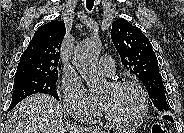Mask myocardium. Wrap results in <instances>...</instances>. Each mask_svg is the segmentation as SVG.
Returning a JSON list of instances; mask_svg holds the SVG:
<instances>
[{"instance_id": "obj_1", "label": "myocardium", "mask_w": 184, "mask_h": 133, "mask_svg": "<svg viewBox=\"0 0 184 133\" xmlns=\"http://www.w3.org/2000/svg\"><path fill=\"white\" fill-rule=\"evenodd\" d=\"M109 85L113 88L131 87L135 89L141 99V109L139 113L132 118L117 119L108 115L106 111L103 109V107L101 106V104L99 103L100 114L103 117V119L114 126H120V127L132 126L139 123L141 120H143V118L147 115L149 110L148 96L145 90L143 89V87L134 80H117V81L110 82Z\"/></svg>"}]
</instances>
